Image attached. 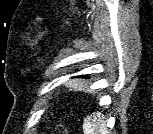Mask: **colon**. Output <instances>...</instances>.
Masks as SVG:
<instances>
[{
    "instance_id": "colon-1",
    "label": "colon",
    "mask_w": 153,
    "mask_h": 134,
    "mask_svg": "<svg viewBox=\"0 0 153 134\" xmlns=\"http://www.w3.org/2000/svg\"><path fill=\"white\" fill-rule=\"evenodd\" d=\"M57 134H67L66 131L64 129H58L56 131Z\"/></svg>"
}]
</instances>
